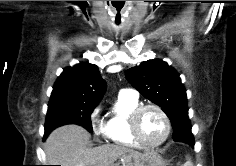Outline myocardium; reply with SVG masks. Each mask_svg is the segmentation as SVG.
Masks as SVG:
<instances>
[{"instance_id": "1", "label": "myocardium", "mask_w": 236, "mask_h": 166, "mask_svg": "<svg viewBox=\"0 0 236 166\" xmlns=\"http://www.w3.org/2000/svg\"><path fill=\"white\" fill-rule=\"evenodd\" d=\"M148 109L156 110L162 116L164 123H165L164 136L160 141H158L156 143H147L142 138V136L140 134V129H139L140 118H141L142 114ZM129 128H130V132H131L133 139L140 146H142L144 148H148V149H153V148H157V147L161 146L162 144H164L167 141V139L169 138L170 132H171V123H170V119H169L167 113L162 109V107H160L157 104L151 103V104L140 105L131 113L130 118H129Z\"/></svg>"}]
</instances>
